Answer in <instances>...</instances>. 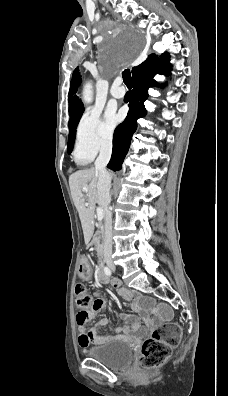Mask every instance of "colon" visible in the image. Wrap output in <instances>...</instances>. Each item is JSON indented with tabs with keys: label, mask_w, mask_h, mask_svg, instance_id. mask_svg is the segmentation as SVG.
<instances>
[{
	"label": "colon",
	"mask_w": 228,
	"mask_h": 396,
	"mask_svg": "<svg viewBox=\"0 0 228 396\" xmlns=\"http://www.w3.org/2000/svg\"><path fill=\"white\" fill-rule=\"evenodd\" d=\"M75 296L79 310L76 317L77 325L84 327L90 317L94 301L82 283L75 286ZM180 337L181 328L178 324L169 322L159 325L142 344L140 365L147 369L161 365L168 359L172 349L178 345Z\"/></svg>",
	"instance_id": "1"
}]
</instances>
